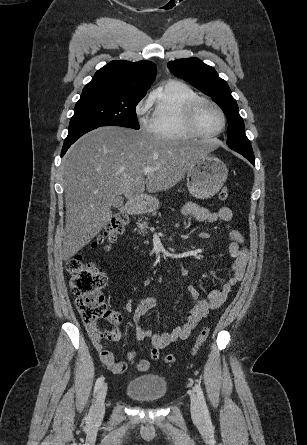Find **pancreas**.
Wrapping results in <instances>:
<instances>
[{"label": "pancreas", "instance_id": "pancreas-1", "mask_svg": "<svg viewBox=\"0 0 307 445\" xmlns=\"http://www.w3.org/2000/svg\"><path fill=\"white\" fill-rule=\"evenodd\" d=\"M153 216L154 214H156V210H153L152 212ZM137 227H139L140 231H139V235H146V233H144V231H146L147 227H148V223H146V220H138V223H136Z\"/></svg>", "mask_w": 307, "mask_h": 445}]
</instances>
